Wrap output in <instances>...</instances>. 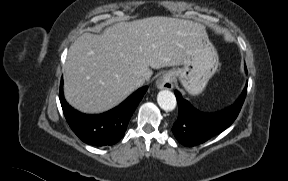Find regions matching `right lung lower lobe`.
Here are the masks:
<instances>
[{"label": "right lung lower lobe", "mask_w": 288, "mask_h": 181, "mask_svg": "<svg viewBox=\"0 0 288 181\" xmlns=\"http://www.w3.org/2000/svg\"><path fill=\"white\" fill-rule=\"evenodd\" d=\"M60 86V102L64 116L73 132L85 143L94 146H109L117 143L127 130L129 120L147 91L140 88L114 109L100 115H86L67 104Z\"/></svg>", "instance_id": "obj_1"}]
</instances>
